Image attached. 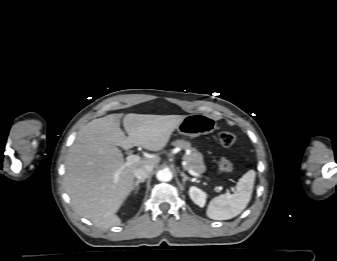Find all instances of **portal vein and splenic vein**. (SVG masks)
I'll use <instances>...</instances> for the list:
<instances>
[{
  "label": "portal vein and splenic vein",
  "mask_w": 337,
  "mask_h": 261,
  "mask_svg": "<svg viewBox=\"0 0 337 261\" xmlns=\"http://www.w3.org/2000/svg\"><path fill=\"white\" fill-rule=\"evenodd\" d=\"M138 161H140V156H138V155H129V156L126 158V162H125L124 166H123L121 169H119V170L117 171V173H116V175H115V179L117 180L118 175H119V173L121 172V170H122L123 168H125V167H127V166H129V165H131V164H134V163H136V162H138ZM188 172H189V174H191L192 176H195V177H202L201 174L197 173L196 171H194V170H192V169H188ZM228 193H229V190H228Z\"/></svg>",
  "instance_id": "1"
}]
</instances>
